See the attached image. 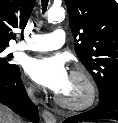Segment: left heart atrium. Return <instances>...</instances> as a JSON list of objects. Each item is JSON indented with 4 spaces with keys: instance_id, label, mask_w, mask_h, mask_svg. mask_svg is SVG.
I'll return each mask as SVG.
<instances>
[{
    "instance_id": "obj_1",
    "label": "left heart atrium",
    "mask_w": 118,
    "mask_h": 123,
    "mask_svg": "<svg viewBox=\"0 0 118 123\" xmlns=\"http://www.w3.org/2000/svg\"><path fill=\"white\" fill-rule=\"evenodd\" d=\"M25 71L38 85L58 94L70 79L65 61L60 56L31 58L26 63Z\"/></svg>"
}]
</instances>
